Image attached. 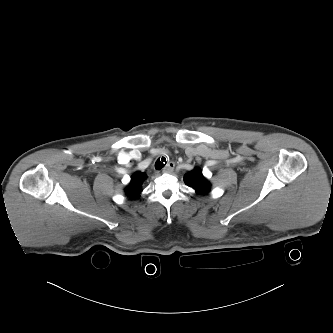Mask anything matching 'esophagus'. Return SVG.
<instances>
[{"instance_id": "obj_1", "label": "esophagus", "mask_w": 333, "mask_h": 333, "mask_svg": "<svg viewBox=\"0 0 333 333\" xmlns=\"http://www.w3.org/2000/svg\"><path fill=\"white\" fill-rule=\"evenodd\" d=\"M175 163L169 162L162 170L163 173H172L174 171Z\"/></svg>"}]
</instances>
